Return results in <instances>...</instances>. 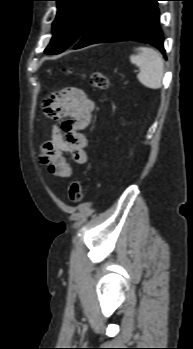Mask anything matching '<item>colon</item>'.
I'll return each mask as SVG.
<instances>
[{
    "mask_svg": "<svg viewBox=\"0 0 193 349\" xmlns=\"http://www.w3.org/2000/svg\"><path fill=\"white\" fill-rule=\"evenodd\" d=\"M90 84L98 90H107L109 87L108 77L101 72H94L89 78ZM68 196L73 202H80L84 198V190L79 180L72 181L68 187Z\"/></svg>",
    "mask_w": 193,
    "mask_h": 349,
    "instance_id": "obj_1",
    "label": "colon"
}]
</instances>
